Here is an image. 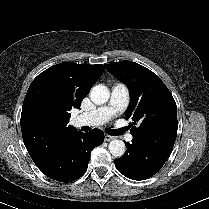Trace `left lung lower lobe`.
I'll return each instance as SVG.
<instances>
[{
  "instance_id": "1",
  "label": "left lung lower lobe",
  "mask_w": 209,
  "mask_h": 209,
  "mask_svg": "<svg viewBox=\"0 0 209 209\" xmlns=\"http://www.w3.org/2000/svg\"><path fill=\"white\" fill-rule=\"evenodd\" d=\"M127 152L116 159L115 166L124 176L132 180H144L156 174L168 159L173 145L147 142L134 138L125 142Z\"/></svg>"
}]
</instances>
